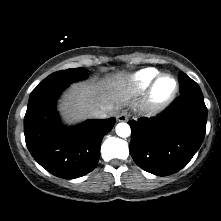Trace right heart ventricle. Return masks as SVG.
<instances>
[{"label": "right heart ventricle", "instance_id": "1", "mask_svg": "<svg viewBox=\"0 0 221 221\" xmlns=\"http://www.w3.org/2000/svg\"><path fill=\"white\" fill-rule=\"evenodd\" d=\"M157 75L158 71L153 68L139 70L130 76L124 88L130 94L139 93L145 90Z\"/></svg>", "mask_w": 221, "mask_h": 221}]
</instances>
